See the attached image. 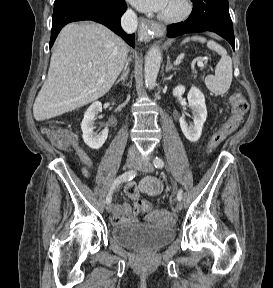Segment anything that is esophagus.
Wrapping results in <instances>:
<instances>
[{
  "instance_id": "34e87169",
  "label": "esophagus",
  "mask_w": 273,
  "mask_h": 288,
  "mask_svg": "<svg viewBox=\"0 0 273 288\" xmlns=\"http://www.w3.org/2000/svg\"><path fill=\"white\" fill-rule=\"evenodd\" d=\"M139 23H140L139 35L144 40L150 38V36L153 37V35L161 36L165 32L164 26L156 22L149 21L144 17L139 18Z\"/></svg>"
}]
</instances>
